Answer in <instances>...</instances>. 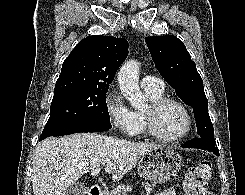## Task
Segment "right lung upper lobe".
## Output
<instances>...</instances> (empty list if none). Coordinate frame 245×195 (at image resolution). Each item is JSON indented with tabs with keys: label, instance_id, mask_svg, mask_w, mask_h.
<instances>
[{
	"label": "right lung upper lobe",
	"instance_id": "obj_1",
	"mask_svg": "<svg viewBox=\"0 0 245 195\" xmlns=\"http://www.w3.org/2000/svg\"><path fill=\"white\" fill-rule=\"evenodd\" d=\"M128 55L126 39L93 35L82 39L63 62L54 92L69 89H108Z\"/></svg>",
	"mask_w": 245,
	"mask_h": 195
}]
</instances>
